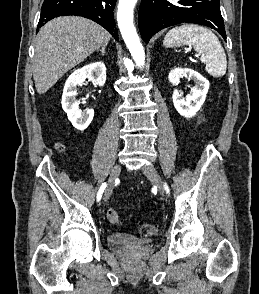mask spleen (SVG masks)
<instances>
[{
  "label": "spleen",
  "mask_w": 259,
  "mask_h": 294,
  "mask_svg": "<svg viewBox=\"0 0 259 294\" xmlns=\"http://www.w3.org/2000/svg\"><path fill=\"white\" fill-rule=\"evenodd\" d=\"M163 45L167 48L192 45L201 55L200 60L206 65V71L213 77L224 76L227 69L225 51L216 35L198 25H181L171 29L164 37Z\"/></svg>",
  "instance_id": "spleen-1"
}]
</instances>
